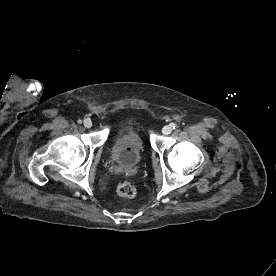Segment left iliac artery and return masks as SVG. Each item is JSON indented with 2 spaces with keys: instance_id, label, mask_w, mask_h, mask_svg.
Segmentation results:
<instances>
[{
  "instance_id": "obj_1",
  "label": "left iliac artery",
  "mask_w": 276,
  "mask_h": 276,
  "mask_svg": "<svg viewBox=\"0 0 276 276\" xmlns=\"http://www.w3.org/2000/svg\"><path fill=\"white\" fill-rule=\"evenodd\" d=\"M171 126H172L173 129H177L178 128L177 124H172Z\"/></svg>"
}]
</instances>
